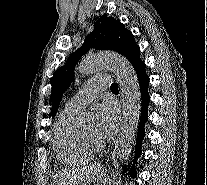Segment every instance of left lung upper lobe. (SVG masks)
Instances as JSON below:
<instances>
[{"label":"left lung upper lobe","mask_w":207,"mask_h":185,"mask_svg":"<svg viewBox=\"0 0 207 185\" xmlns=\"http://www.w3.org/2000/svg\"><path fill=\"white\" fill-rule=\"evenodd\" d=\"M90 48L118 52L130 61L134 69L144 64L140 59V48L136 45L133 34L119 19L102 15L95 22L93 31L87 35L82 46L52 77V117L57 113L63 93L74 79L75 64Z\"/></svg>","instance_id":"1"}]
</instances>
